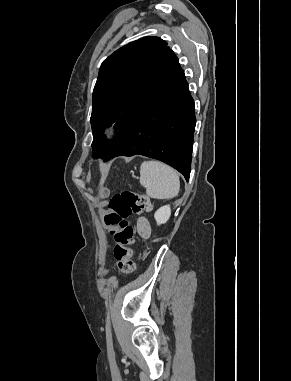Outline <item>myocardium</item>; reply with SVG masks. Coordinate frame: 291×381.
I'll use <instances>...</instances> for the list:
<instances>
[{
	"label": "myocardium",
	"instance_id": "myocardium-1",
	"mask_svg": "<svg viewBox=\"0 0 291 381\" xmlns=\"http://www.w3.org/2000/svg\"><path fill=\"white\" fill-rule=\"evenodd\" d=\"M119 124L117 122H110L107 123L104 127V134L105 135H113L119 131Z\"/></svg>",
	"mask_w": 291,
	"mask_h": 381
}]
</instances>
